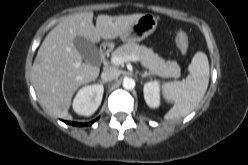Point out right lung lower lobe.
Wrapping results in <instances>:
<instances>
[{"instance_id": "98d812e1", "label": "right lung lower lobe", "mask_w": 248, "mask_h": 165, "mask_svg": "<svg viewBox=\"0 0 248 165\" xmlns=\"http://www.w3.org/2000/svg\"><path fill=\"white\" fill-rule=\"evenodd\" d=\"M95 121L89 123V125H91L92 123H94ZM66 124H70V125H75V126H83V125H88V124H81V123H75V122H69V121H65Z\"/></svg>"}]
</instances>
